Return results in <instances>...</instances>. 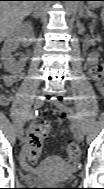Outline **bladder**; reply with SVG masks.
Wrapping results in <instances>:
<instances>
[{
	"label": "bladder",
	"instance_id": "bladder-1",
	"mask_svg": "<svg viewBox=\"0 0 104 189\" xmlns=\"http://www.w3.org/2000/svg\"><path fill=\"white\" fill-rule=\"evenodd\" d=\"M75 169V166L59 156H47L40 165L31 170L24 181L31 185L61 182Z\"/></svg>",
	"mask_w": 104,
	"mask_h": 189
}]
</instances>
